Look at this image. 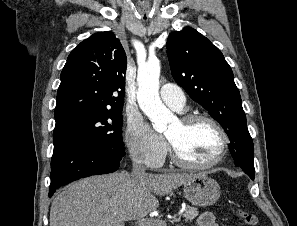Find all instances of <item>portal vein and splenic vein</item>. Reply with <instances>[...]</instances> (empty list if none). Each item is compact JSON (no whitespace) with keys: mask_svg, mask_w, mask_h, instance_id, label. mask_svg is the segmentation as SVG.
I'll return each mask as SVG.
<instances>
[{"mask_svg":"<svg viewBox=\"0 0 297 226\" xmlns=\"http://www.w3.org/2000/svg\"><path fill=\"white\" fill-rule=\"evenodd\" d=\"M170 219H172L173 222H179L180 221V218H176V217H170ZM156 222H157V219L143 218V219L139 220L137 223L140 226H152Z\"/></svg>","mask_w":297,"mask_h":226,"instance_id":"obj_1","label":"portal vein and splenic vein"}]
</instances>
